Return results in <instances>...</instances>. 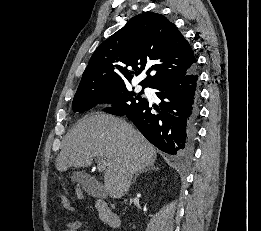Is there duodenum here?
I'll list each match as a JSON object with an SVG mask.
<instances>
[{"label": "duodenum", "instance_id": "1", "mask_svg": "<svg viewBox=\"0 0 261 231\" xmlns=\"http://www.w3.org/2000/svg\"><path fill=\"white\" fill-rule=\"evenodd\" d=\"M96 207L102 216L103 220L112 228L120 226L119 217L110 210L108 205L102 199H96Z\"/></svg>", "mask_w": 261, "mask_h": 231}]
</instances>
